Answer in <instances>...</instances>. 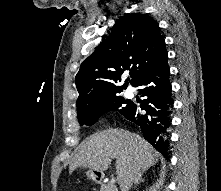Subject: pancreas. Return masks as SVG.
<instances>
[{
  "mask_svg": "<svg viewBox=\"0 0 221 191\" xmlns=\"http://www.w3.org/2000/svg\"><path fill=\"white\" fill-rule=\"evenodd\" d=\"M100 191H117V188L116 186L108 183V184H101V187H100Z\"/></svg>",
  "mask_w": 221,
  "mask_h": 191,
  "instance_id": "obj_1",
  "label": "pancreas"
}]
</instances>
